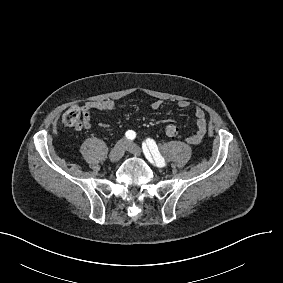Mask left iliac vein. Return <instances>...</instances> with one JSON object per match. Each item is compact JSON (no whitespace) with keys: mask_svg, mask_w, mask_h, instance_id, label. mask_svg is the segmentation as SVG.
I'll return each instance as SVG.
<instances>
[{"mask_svg":"<svg viewBox=\"0 0 283 283\" xmlns=\"http://www.w3.org/2000/svg\"><path fill=\"white\" fill-rule=\"evenodd\" d=\"M125 149L132 153L133 155L140 156L142 154V149L133 142L126 143ZM154 163V162H153ZM156 165V163H154ZM157 166V165H156ZM158 167V166H157Z\"/></svg>","mask_w":283,"mask_h":283,"instance_id":"4c4485c4","label":"left iliac vein"}]
</instances>
